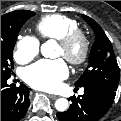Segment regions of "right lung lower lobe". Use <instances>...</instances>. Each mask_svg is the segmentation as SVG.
Wrapping results in <instances>:
<instances>
[{
  "label": "right lung lower lobe",
  "mask_w": 121,
  "mask_h": 121,
  "mask_svg": "<svg viewBox=\"0 0 121 121\" xmlns=\"http://www.w3.org/2000/svg\"><path fill=\"white\" fill-rule=\"evenodd\" d=\"M9 78L1 77V121H19L30 105L29 88L22 83L9 87Z\"/></svg>",
  "instance_id": "1"
}]
</instances>
